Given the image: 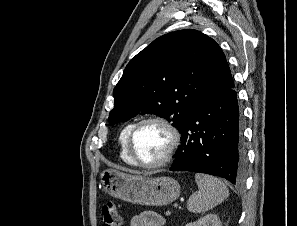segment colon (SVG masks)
I'll return each mask as SVG.
<instances>
[{
    "mask_svg": "<svg viewBox=\"0 0 297 226\" xmlns=\"http://www.w3.org/2000/svg\"><path fill=\"white\" fill-rule=\"evenodd\" d=\"M102 226H121L120 215L113 202L108 201L101 209Z\"/></svg>",
    "mask_w": 297,
    "mask_h": 226,
    "instance_id": "obj_1",
    "label": "colon"
}]
</instances>
